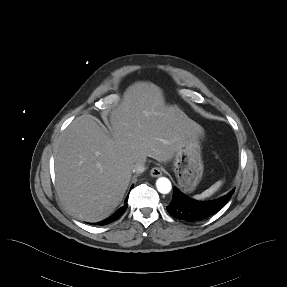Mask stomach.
Instances as JSON below:
<instances>
[{
	"mask_svg": "<svg viewBox=\"0 0 287 287\" xmlns=\"http://www.w3.org/2000/svg\"><path fill=\"white\" fill-rule=\"evenodd\" d=\"M203 167L199 135L185 125L173 160V170L178 184L185 192L195 190L201 181Z\"/></svg>",
	"mask_w": 287,
	"mask_h": 287,
	"instance_id": "stomach-1",
	"label": "stomach"
}]
</instances>
